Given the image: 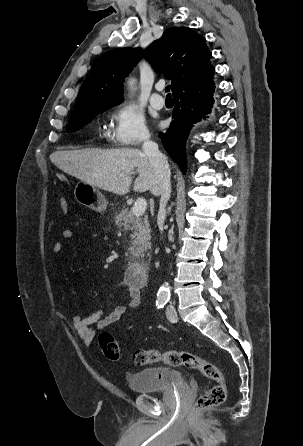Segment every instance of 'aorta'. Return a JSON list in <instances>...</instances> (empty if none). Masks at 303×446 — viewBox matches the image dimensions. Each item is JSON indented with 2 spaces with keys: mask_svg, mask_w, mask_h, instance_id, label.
<instances>
[{
  "mask_svg": "<svg viewBox=\"0 0 303 446\" xmlns=\"http://www.w3.org/2000/svg\"><path fill=\"white\" fill-rule=\"evenodd\" d=\"M134 83H135L134 79L130 80L128 83L131 90L133 89ZM169 296H170V286L168 285V283H164L159 288L158 299L165 301L169 298Z\"/></svg>",
  "mask_w": 303,
  "mask_h": 446,
  "instance_id": "762f6f07",
  "label": "aorta"
}]
</instances>
